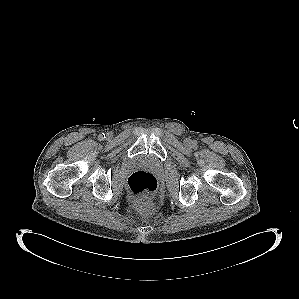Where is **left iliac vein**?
<instances>
[{"instance_id": "1", "label": "left iliac vein", "mask_w": 299, "mask_h": 299, "mask_svg": "<svg viewBox=\"0 0 299 299\" xmlns=\"http://www.w3.org/2000/svg\"><path fill=\"white\" fill-rule=\"evenodd\" d=\"M184 143L188 147L191 146V140L190 139H185Z\"/></svg>"}]
</instances>
